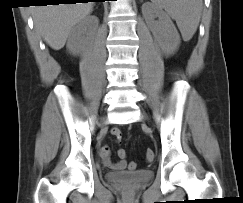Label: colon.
Segmentation results:
<instances>
[{
    "label": "colon",
    "instance_id": "colon-1",
    "mask_svg": "<svg viewBox=\"0 0 243 203\" xmlns=\"http://www.w3.org/2000/svg\"><path fill=\"white\" fill-rule=\"evenodd\" d=\"M119 154L122 155V156H126V152H125V150H123V149H121V150L119 151ZM145 158H146V160H147L148 162H152V161L154 160V158H155V154H154V152H153L152 150H148V151L146 152ZM135 167H136V163H134V162L130 163V168H131V169H135Z\"/></svg>",
    "mask_w": 243,
    "mask_h": 203
}]
</instances>
